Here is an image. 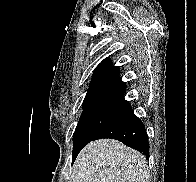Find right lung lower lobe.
<instances>
[{
  "instance_id": "obj_1",
  "label": "right lung lower lobe",
  "mask_w": 196,
  "mask_h": 182,
  "mask_svg": "<svg viewBox=\"0 0 196 182\" xmlns=\"http://www.w3.org/2000/svg\"><path fill=\"white\" fill-rule=\"evenodd\" d=\"M101 138L116 139L125 145L139 151L149 159L148 135L143 123L131 111L129 114L103 129L94 140ZM76 157L73 158V161Z\"/></svg>"
}]
</instances>
